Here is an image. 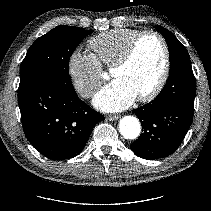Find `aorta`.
Returning a JSON list of instances; mask_svg holds the SVG:
<instances>
[{"instance_id":"obj_1","label":"aorta","mask_w":211,"mask_h":211,"mask_svg":"<svg viewBox=\"0 0 211 211\" xmlns=\"http://www.w3.org/2000/svg\"><path fill=\"white\" fill-rule=\"evenodd\" d=\"M119 130L126 139H136L141 132L139 120L134 116H125L120 120Z\"/></svg>"}]
</instances>
